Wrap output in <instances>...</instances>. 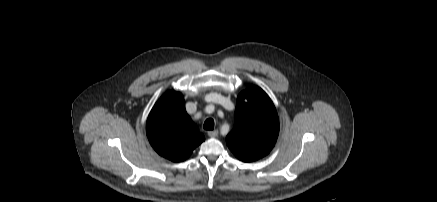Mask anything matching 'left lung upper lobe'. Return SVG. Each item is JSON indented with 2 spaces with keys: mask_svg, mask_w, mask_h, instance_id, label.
I'll return each instance as SVG.
<instances>
[{
  "mask_svg": "<svg viewBox=\"0 0 437 202\" xmlns=\"http://www.w3.org/2000/svg\"><path fill=\"white\" fill-rule=\"evenodd\" d=\"M279 133V119L269 96L257 86H248L238 98L233 130L226 143L243 162L266 156L274 147Z\"/></svg>",
  "mask_w": 437,
  "mask_h": 202,
  "instance_id": "left-lung-upper-lobe-1",
  "label": "left lung upper lobe"
}]
</instances>
